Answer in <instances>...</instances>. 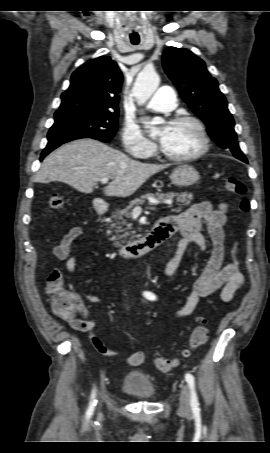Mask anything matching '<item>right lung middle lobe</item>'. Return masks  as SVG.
I'll list each match as a JSON object with an SVG mask.
<instances>
[{
	"instance_id": "obj_1",
	"label": "right lung middle lobe",
	"mask_w": 270,
	"mask_h": 453,
	"mask_svg": "<svg viewBox=\"0 0 270 453\" xmlns=\"http://www.w3.org/2000/svg\"><path fill=\"white\" fill-rule=\"evenodd\" d=\"M118 127V113L113 112H78L55 117V122L48 132V141L69 142L80 138H93L109 142Z\"/></svg>"
}]
</instances>
